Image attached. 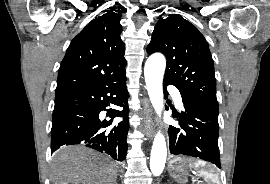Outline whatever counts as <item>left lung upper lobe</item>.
Masks as SVG:
<instances>
[{
  "mask_svg": "<svg viewBox=\"0 0 270 184\" xmlns=\"http://www.w3.org/2000/svg\"><path fill=\"white\" fill-rule=\"evenodd\" d=\"M147 52H161L167 59L164 79L183 94L219 113L216 79L208 43L199 30L181 15L160 19Z\"/></svg>",
  "mask_w": 270,
  "mask_h": 184,
  "instance_id": "left-lung-upper-lobe-1",
  "label": "left lung upper lobe"
}]
</instances>
